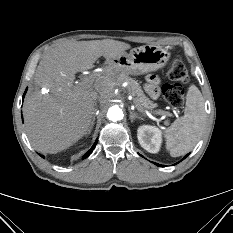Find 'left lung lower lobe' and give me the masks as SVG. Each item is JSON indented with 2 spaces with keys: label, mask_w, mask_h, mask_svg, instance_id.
I'll list each match as a JSON object with an SVG mask.
<instances>
[{
  "label": "left lung lower lobe",
  "mask_w": 233,
  "mask_h": 233,
  "mask_svg": "<svg viewBox=\"0 0 233 233\" xmlns=\"http://www.w3.org/2000/svg\"><path fill=\"white\" fill-rule=\"evenodd\" d=\"M187 156H188V154L183 159H185ZM154 164H156L157 166L163 167V165H161V164H157V163H154Z\"/></svg>",
  "instance_id": "0a47b994"
}]
</instances>
